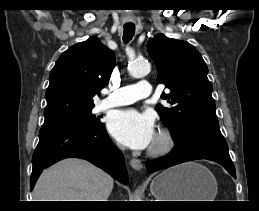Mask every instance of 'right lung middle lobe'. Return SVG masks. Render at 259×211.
<instances>
[{"mask_svg": "<svg viewBox=\"0 0 259 211\" xmlns=\"http://www.w3.org/2000/svg\"><path fill=\"white\" fill-rule=\"evenodd\" d=\"M53 125H68V126H76L82 128H90V127H100L103 123L100 122L99 117H96L92 114V110H88L86 112H82L63 120L50 123V124H43L42 127L45 126H53Z\"/></svg>", "mask_w": 259, "mask_h": 211, "instance_id": "1", "label": "right lung middle lobe"}]
</instances>
